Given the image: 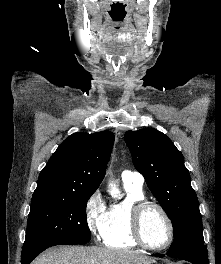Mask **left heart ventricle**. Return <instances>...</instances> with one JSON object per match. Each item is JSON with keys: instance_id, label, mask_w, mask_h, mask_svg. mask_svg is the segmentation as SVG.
I'll use <instances>...</instances> for the list:
<instances>
[{"instance_id": "obj_1", "label": "left heart ventricle", "mask_w": 221, "mask_h": 264, "mask_svg": "<svg viewBox=\"0 0 221 264\" xmlns=\"http://www.w3.org/2000/svg\"><path fill=\"white\" fill-rule=\"evenodd\" d=\"M142 234L153 246L164 245L169 238V229L163 215L156 208H148L142 219Z\"/></svg>"}]
</instances>
